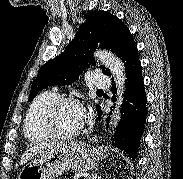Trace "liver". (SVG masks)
Returning a JSON list of instances; mask_svg holds the SVG:
<instances>
[{
    "instance_id": "6515ba94",
    "label": "liver",
    "mask_w": 183,
    "mask_h": 179,
    "mask_svg": "<svg viewBox=\"0 0 183 179\" xmlns=\"http://www.w3.org/2000/svg\"><path fill=\"white\" fill-rule=\"evenodd\" d=\"M51 143H43V144H36L32 146L31 148L27 149L24 154L21 157L20 164L23 165L27 163L30 159H32L34 156H36L38 153H40L44 148L47 146L53 144Z\"/></svg>"
}]
</instances>
